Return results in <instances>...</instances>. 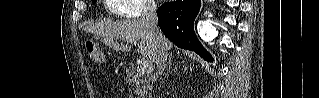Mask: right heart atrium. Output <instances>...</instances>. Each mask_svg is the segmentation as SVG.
<instances>
[{
    "label": "right heart atrium",
    "instance_id": "1",
    "mask_svg": "<svg viewBox=\"0 0 319 98\" xmlns=\"http://www.w3.org/2000/svg\"><path fill=\"white\" fill-rule=\"evenodd\" d=\"M127 7L122 11L125 18H138L155 11V8L146 0H125Z\"/></svg>",
    "mask_w": 319,
    "mask_h": 98
}]
</instances>
